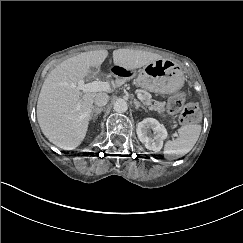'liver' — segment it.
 <instances>
[{
    "mask_svg": "<svg viewBox=\"0 0 243 243\" xmlns=\"http://www.w3.org/2000/svg\"><path fill=\"white\" fill-rule=\"evenodd\" d=\"M107 56V50L83 52L62 61L47 75L37 101V120L44 136L55 146L74 150L84 141L98 93L81 91L77 86ZM112 57L114 66L127 71L162 58L156 53L124 48L114 50ZM127 81L128 77H118L101 93H114Z\"/></svg>",
    "mask_w": 243,
    "mask_h": 243,
    "instance_id": "1",
    "label": "liver"
}]
</instances>
